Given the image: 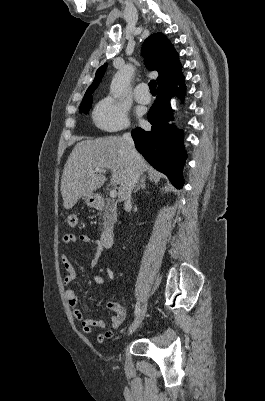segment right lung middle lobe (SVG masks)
I'll list each match as a JSON object with an SVG mask.
<instances>
[{"instance_id": "dd1d6c3e", "label": "right lung middle lobe", "mask_w": 265, "mask_h": 401, "mask_svg": "<svg viewBox=\"0 0 265 401\" xmlns=\"http://www.w3.org/2000/svg\"><path fill=\"white\" fill-rule=\"evenodd\" d=\"M92 104V98L83 101L82 106L80 107V111H83L84 113H87L91 107Z\"/></svg>"}]
</instances>
